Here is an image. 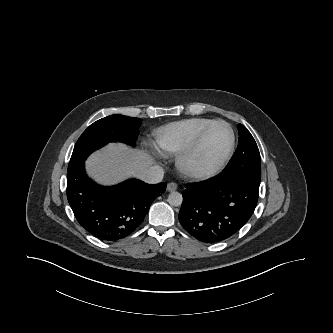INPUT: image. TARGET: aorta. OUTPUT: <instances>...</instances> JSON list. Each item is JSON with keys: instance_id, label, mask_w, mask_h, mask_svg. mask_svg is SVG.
<instances>
[{"instance_id": "762f6f07", "label": "aorta", "mask_w": 333, "mask_h": 333, "mask_svg": "<svg viewBox=\"0 0 333 333\" xmlns=\"http://www.w3.org/2000/svg\"><path fill=\"white\" fill-rule=\"evenodd\" d=\"M182 201L183 197L179 192H171L168 196V202L171 206H180Z\"/></svg>"}]
</instances>
